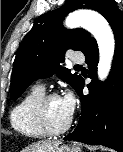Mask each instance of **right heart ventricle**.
<instances>
[{
    "mask_svg": "<svg viewBox=\"0 0 123 152\" xmlns=\"http://www.w3.org/2000/svg\"><path fill=\"white\" fill-rule=\"evenodd\" d=\"M43 95V89L33 87L11 110V126L22 136L34 139L46 136L38 126L35 118L36 104Z\"/></svg>",
    "mask_w": 123,
    "mask_h": 152,
    "instance_id": "1",
    "label": "right heart ventricle"
}]
</instances>
